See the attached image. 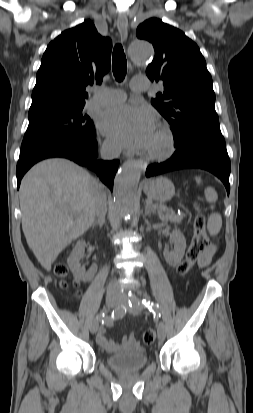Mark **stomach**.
Returning a JSON list of instances; mask_svg holds the SVG:
<instances>
[{"label":"stomach","instance_id":"0dacf381","mask_svg":"<svg viewBox=\"0 0 253 413\" xmlns=\"http://www.w3.org/2000/svg\"><path fill=\"white\" fill-rule=\"evenodd\" d=\"M143 190L150 199L159 202L168 201L175 194V187L173 183L164 177H158L145 182Z\"/></svg>","mask_w":253,"mask_h":413}]
</instances>
